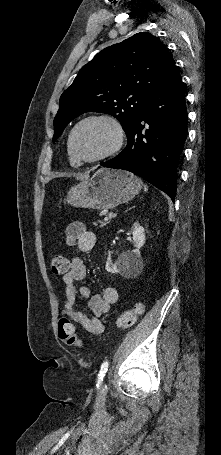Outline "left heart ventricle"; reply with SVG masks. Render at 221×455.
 Masks as SVG:
<instances>
[{
  "label": "left heart ventricle",
  "mask_w": 221,
  "mask_h": 455,
  "mask_svg": "<svg viewBox=\"0 0 221 455\" xmlns=\"http://www.w3.org/2000/svg\"><path fill=\"white\" fill-rule=\"evenodd\" d=\"M114 142L112 129L104 123L83 125L75 138V150L82 158H91L107 151Z\"/></svg>",
  "instance_id": "1"
}]
</instances>
